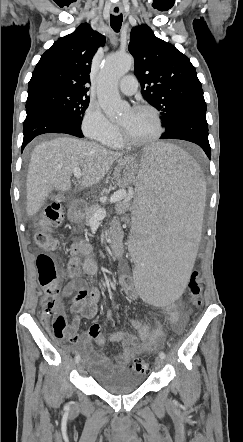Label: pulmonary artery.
Wrapping results in <instances>:
<instances>
[{
    "label": "pulmonary artery",
    "mask_w": 243,
    "mask_h": 442,
    "mask_svg": "<svg viewBox=\"0 0 243 442\" xmlns=\"http://www.w3.org/2000/svg\"><path fill=\"white\" fill-rule=\"evenodd\" d=\"M138 82L133 75H126L119 83V89L124 95L131 96L136 93Z\"/></svg>",
    "instance_id": "e3ab8cb5"
}]
</instances>
